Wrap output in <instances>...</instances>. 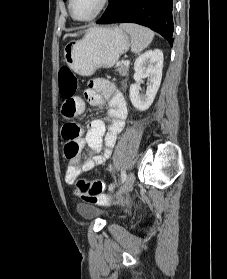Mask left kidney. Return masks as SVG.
<instances>
[{"instance_id": "left-kidney-1", "label": "left kidney", "mask_w": 227, "mask_h": 279, "mask_svg": "<svg viewBox=\"0 0 227 279\" xmlns=\"http://www.w3.org/2000/svg\"><path fill=\"white\" fill-rule=\"evenodd\" d=\"M163 69V53L159 49L147 51L140 55L134 63L135 83L130 86V100L132 105L140 110H147L154 101L155 95L160 87ZM149 78L146 94H139L140 83L143 78Z\"/></svg>"}]
</instances>
